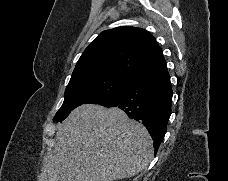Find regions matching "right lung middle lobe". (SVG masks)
Instances as JSON below:
<instances>
[{"label": "right lung middle lobe", "instance_id": "obj_1", "mask_svg": "<svg viewBox=\"0 0 228 181\" xmlns=\"http://www.w3.org/2000/svg\"><path fill=\"white\" fill-rule=\"evenodd\" d=\"M131 79L101 74L70 81L65 91L64 102L53 120H64L73 109L82 104H101L112 99Z\"/></svg>", "mask_w": 228, "mask_h": 181}]
</instances>
